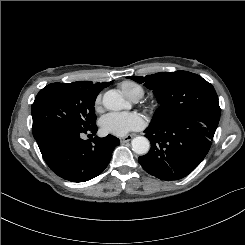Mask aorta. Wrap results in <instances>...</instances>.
Returning a JSON list of instances; mask_svg holds the SVG:
<instances>
[{"instance_id": "aorta-1", "label": "aorta", "mask_w": 245, "mask_h": 245, "mask_svg": "<svg viewBox=\"0 0 245 245\" xmlns=\"http://www.w3.org/2000/svg\"><path fill=\"white\" fill-rule=\"evenodd\" d=\"M103 105L113 111L122 110L125 107V100L116 90H109L103 96ZM132 150L144 155L150 149V142L146 137L138 136L131 141Z\"/></svg>"}]
</instances>
